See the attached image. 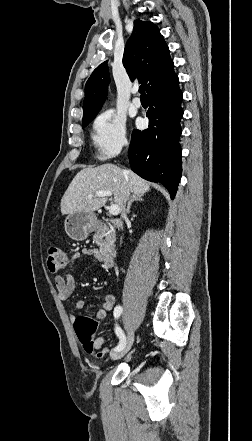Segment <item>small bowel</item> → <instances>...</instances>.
<instances>
[{
	"label": "small bowel",
	"instance_id": "obj_1",
	"mask_svg": "<svg viewBox=\"0 0 252 441\" xmlns=\"http://www.w3.org/2000/svg\"><path fill=\"white\" fill-rule=\"evenodd\" d=\"M81 255L92 256V257L97 258L99 256V253L94 248H83L81 251L75 252L71 256V258L68 260V263L72 264ZM55 286H56V290L58 293V297L61 300H66L74 292V289H75L74 277L69 274L68 275H58L55 277ZM115 303H116V297L114 294L108 293V294L104 295L103 300H102V304H101V308L97 310L94 317L99 320L104 319L106 316V313L108 311H111L114 308ZM83 306H84V301L77 300L76 302H74L72 304L71 309H72V311L77 312V311L81 310L83 308ZM104 342H105V337H99L95 340V346L98 349H101Z\"/></svg>",
	"mask_w": 252,
	"mask_h": 441
}]
</instances>
